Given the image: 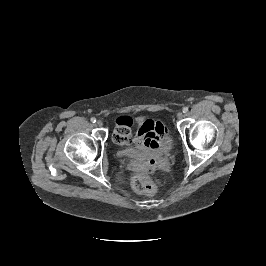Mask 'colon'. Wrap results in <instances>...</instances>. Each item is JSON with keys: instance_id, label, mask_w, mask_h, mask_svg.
<instances>
[{"instance_id": "colon-1", "label": "colon", "mask_w": 266, "mask_h": 266, "mask_svg": "<svg viewBox=\"0 0 266 266\" xmlns=\"http://www.w3.org/2000/svg\"><path fill=\"white\" fill-rule=\"evenodd\" d=\"M133 187L136 191L147 195H154L157 192V186L147 172H141L135 175L133 178Z\"/></svg>"}]
</instances>
